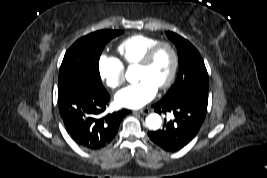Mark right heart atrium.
<instances>
[{
  "label": "right heart atrium",
  "mask_w": 267,
  "mask_h": 178,
  "mask_svg": "<svg viewBox=\"0 0 267 178\" xmlns=\"http://www.w3.org/2000/svg\"><path fill=\"white\" fill-rule=\"evenodd\" d=\"M98 70L101 79L111 89L118 88L124 82V67L115 57L102 54L98 61Z\"/></svg>",
  "instance_id": "1"
}]
</instances>
